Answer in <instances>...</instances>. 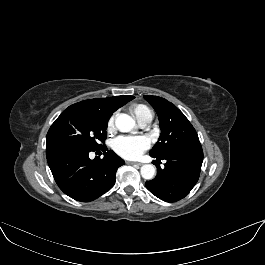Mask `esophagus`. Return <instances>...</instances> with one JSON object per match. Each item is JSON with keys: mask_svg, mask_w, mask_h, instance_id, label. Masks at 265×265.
<instances>
[{"mask_svg": "<svg viewBox=\"0 0 265 265\" xmlns=\"http://www.w3.org/2000/svg\"><path fill=\"white\" fill-rule=\"evenodd\" d=\"M129 164H131V165H138V166H141V165H142V164L139 163V162H129Z\"/></svg>", "mask_w": 265, "mask_h": 265, "instance_id": "obj_1", "label": "esophagus"}]
</instances>
